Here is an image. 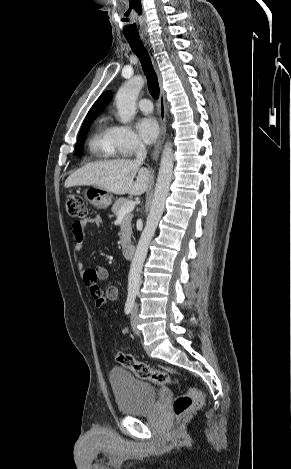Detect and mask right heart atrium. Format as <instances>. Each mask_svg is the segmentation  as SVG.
I'll return each instance as SVG.
<instances>
[{
  "label": "right heart atrium",
  "mask_w": 291,
  "mask_h": 469,
  "mask_svg": "<svg viewBox=\"0 0 291 469\" xmlns=\"http://www.w3.org/2000/svg\"><path fill=\"white\" fill-rule=\"evenodd\" d=\"M110 138L115 152L121 156H130L143 148L139 136L127 125L115 124L111 126Z\"/></svg>",
  "instance_id": "obj_1"
}]
</instances>
